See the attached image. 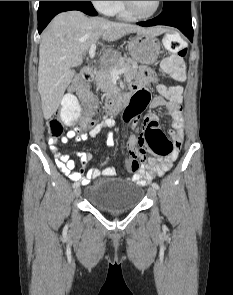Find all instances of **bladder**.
<instances>
[{"label":"bladder","mask_w":233,"mask_h":295,"mask_svg":"<svg viewBox=\"0 0 233 295\" xmlns=\"http://www.w3.org/2000/svg\"><path fill=\"white\" fill-rule=\"evenodd\" d=\"M143 189L128 180L101 178L89 183L85 197L95 206L108 212L130 211L138 206Z\"/></svg>","instance_id":"obj_1"}]
</instances>
